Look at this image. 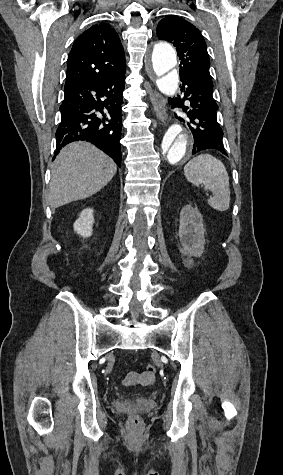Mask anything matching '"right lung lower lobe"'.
Here are the masks:
<instances>
[{
  "label": "right lung lower lobe",
  "mask_w": 283,
  "mask_h": 475,
  "mask_svg": "<svg viewBox=\"0 0 283 475\" xmlns=\"http://www.w3.org/2000/svg\"><path fill=\"white\" fill-rule=\"evenodd\" d=\"M124 81L125 73L103 81L65 86L55 156L66 144L83 140L93 143L121 165Z\"/></svg>",
  "instance_id": "98d812e1"
}]
</instances>
